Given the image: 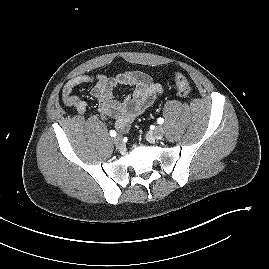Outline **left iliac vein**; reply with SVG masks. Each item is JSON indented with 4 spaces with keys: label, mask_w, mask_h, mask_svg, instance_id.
Instances as JSON below:
<instances>
[{
    "label": "left iliac vein",
    "mask_w": 269,
    "mask_h": 269,
    "mask_svg": "<svg viewBox=\"0 0 269 269\" xmlns=\"http://www.w3.org/2000/svg\"><path fill=\"white\" fill-rule=\"evenodd\" d=\"M164 134V130L161 126H157L152 132H151V136L156 139L159 140L163 137Z\"/></svg>",
    "instance_id": "left-iliac-vein-1"
}]
</instances>
